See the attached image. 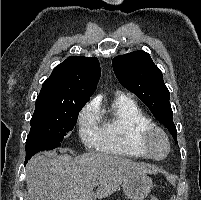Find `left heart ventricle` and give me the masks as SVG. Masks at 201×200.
<instances>
[{
    "label": "left heart ventricle",
    "instance_id": "obj_1",
    "mask_svg": "<svg viewBox=\"0 0 201 200\" xmlns=\"http://www.w3.org/2000/svg\"><path fill=\"white\" fill-rule=\"evenodd\" d=\"M150 146L152 155L157 158L164 156L167 151V143L164 137L159 133L152 134L150 138Z\"/></svg>",
    "mask_w": 201,
    "mask_h": 200
}]
</instances>
